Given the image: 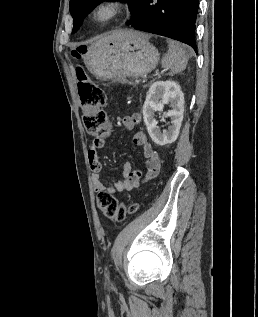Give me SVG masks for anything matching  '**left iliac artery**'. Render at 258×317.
I'll use <instances>...</instances> for the list:
<instances>
[{
    "mask_svg": "<svg viewBox=\"0 0 258 317\" xmlns=\"http://www.w3.org/2000/svg\"><path fill=\"white\" fill-rule=\"evenodd\" d=\"M111 289H112L113 291L117 292V289H116V287H115L114 285H112Z\"/></svg>",
    "mask_w": 258,
    "mask_h": 317,
    "instance_id": "left-iliac-artery-1",
    "label": "left iliac artery"
}]
</instances>
